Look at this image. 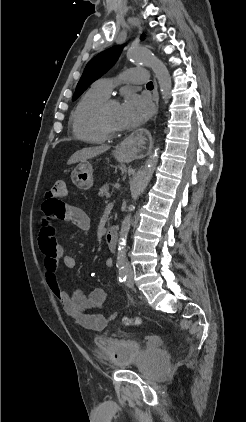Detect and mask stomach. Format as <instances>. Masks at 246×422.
<instances>
[{
	"label": "stomach",
	"instance_id": "obj_1",
	"mask_svg": "<svg viewBox=\"0 0 246 422\" xmlns=\"http://www.w3.org/2000/svg\"><path fill=\"white\" fill-rule=\"evenodd\" d=\"M114 156L120 161H127L129 154L127 151L119 147L115 150ZM71 179L73 184L81 189L88 190L93 185V168L88 161L81 162L72 172Z\"/></svg>",
	"mask_w": 246,
	"mask_h": 422
}]
</instances>
